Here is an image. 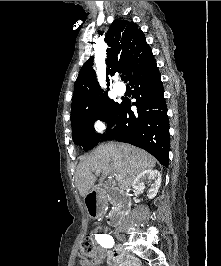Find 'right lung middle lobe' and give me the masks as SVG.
Listing matches in <instances>:
<instances>
[{"label":"right lung middle lobe","instance_id":"1","mask_svg":"<svg viewBox=\"0 0 221 266\" xmlns=\"http://www.w3.org/2000/svg\"><path fill=\"white\" fill-rule=\"evenodd\" d=\"M120 106L121 104L114 102L106 94L90 111L71 118L74 143L83 146L85 151L94 148L103 137V134L95 133L94 122L98 119L107 122L109 130L115 122Z\"/></svg>","mask_w":221,"mask_h":266}]
</instances>
